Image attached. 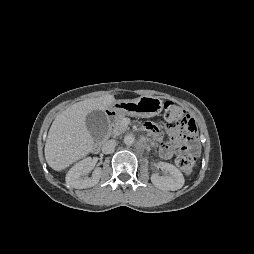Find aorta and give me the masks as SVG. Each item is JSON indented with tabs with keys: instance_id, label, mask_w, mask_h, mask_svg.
Masks as SVG:
<instances>
[{
	"instance_id": "1",
	"label": "aorta",
	"mask_w": 254,
	"mask_h": 254,
	"mask_svg": "<svg viewBox=\"0 0 254 254\" xmlns=\"http://www.w3.org/2000/svg\"><path fill=\"white\" fill-rule=\"evenodd\" d=\"M134 136L131 135V134H128L124 137V143L127 145V146H131L133 143H134Z\"/></svg>"
}]
</instances>
